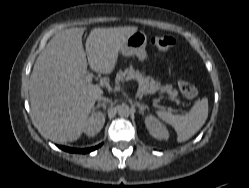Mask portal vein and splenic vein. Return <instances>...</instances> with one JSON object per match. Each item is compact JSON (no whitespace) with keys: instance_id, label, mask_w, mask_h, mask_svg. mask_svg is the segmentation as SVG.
I'll use <instances>...</instances> for the list:
<instances>
[{"instance_id":"1","label":"portal vein and splenic vein","mask_w":249,"mask_h":188,"mask_svg":"<svg viewBox=\"0 0 249 188\" xmlns=\"http://www.w3.org/2000/svg\"><path fill=\"white\" fill-rule=\"evenodd\" d=\"M85 80H86V82L91 83V82H92V74H91V73H88V74L86 75ZM138 93L141 95L140 92H138ZM170 109H171V108H170Z\"/></svg>"}]
</instances>
